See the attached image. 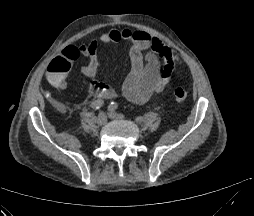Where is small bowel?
<instances>
[{
  "mask_svg": "<svg viewBox=\"0 0 254 216\" xmlns=\"http://www.w3.org/2000/svg\"><path fill=\"white\" fill-rule=\"evenodd\" d=\"M125 41L129 43V58L131 69L125 78L120 91L94 80L89 89L91 99H114L122 95L134 103H144L154 94L164 90L167 86L171 72L180 58L165 43L157 37L151 36L142 30L111 29L100 35L98 40L79 47L68 46L62 52L63 63H71L78 55L87 59V64L82 67V73L88 78L95 79L98 73V43L109 44ZM161 61L163 66H161ZM50 85L57 89H66V73L58 80H51Z\"/></svg>",
  "mask_w": 254,
  "mask_h": 216,
  "instance_id": "small-bowel-1",
  "label": "small bowel"
}]
</instances>
